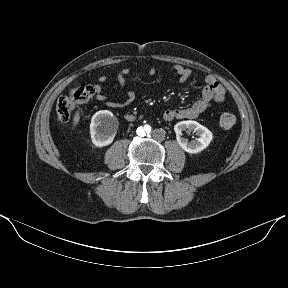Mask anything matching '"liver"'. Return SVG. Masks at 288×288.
Listing matches in <instances>:
<instances>
[{"label":"liver","mask_w":288,"mask_h":288,"mask_svg":"<svg viewBox=\"0 0 288 288\" xmlns=\"http://www.w3.org/2000/svg\"><path fill=\"white\" fill-rule=\"evenodd\" d=\"M80 119L79 111H77L73 117V124L77 125Z\"/></svg>","instance_id":"liver-1"}]
</instances>
